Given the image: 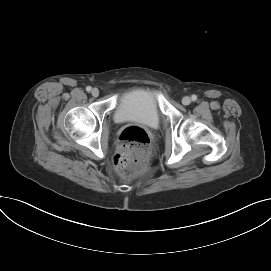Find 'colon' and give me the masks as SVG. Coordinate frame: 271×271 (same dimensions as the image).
Returning <instances> with one entry per match:
<instances>
[{"mask_svg": "<svg viewBox=\"0 0 271 271\" xmlns=\"http://www.w3.org/2000/svg\"><path fill=\"white\" fill-rule=\"evenodd\" d=\"M149 152L150 137L147 131L139 126L127 127L119 137L114 167L120 175H136L144 169Z\"/></svg>", "mask_w": 271, "mask_h": 271, "instance_id": "colon-1", "label": "colon"}]
</instances>
